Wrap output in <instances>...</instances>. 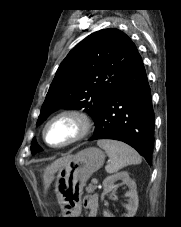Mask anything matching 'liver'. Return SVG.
<instances>
[{"instance_id": "liver-1", "label": "liver", "mask_w": 181, "mask_h": 227, "mask_svg": "<svg viewBox=\"0 0 181 227\" xmlns=\"http://www.w3.org/2000/svg\"><path fill=\"white\" fill-rule=\"evenodd\" d=\"M72 158H73L72 155H68V156L59 158L45 168L44 174H43V181H44L45 190H47L49 188L50 184L54 180L55 173L61 167L66 165Z\"/></svg>"}]
</instances>
